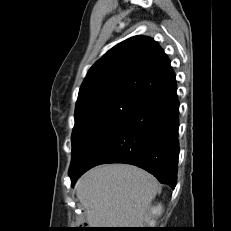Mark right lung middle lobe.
I'll return each mask as SVG.
<instances>
[{"instance_id":"obj_1","label":"right lung middle lobe","mask_w":231,"mask_h":231,"mask_svg":"<svg viewBox=\"0 0 231 231\" xmlns=\"http://www.w3.org/2000/svg\"><path fill=\"white\" fill-rule=\"evenodd\" d=\"M143 102L132 94H112L76 110L69 169L77 168L98 144L137 112Z\"/></svg>"}]
</instances>
